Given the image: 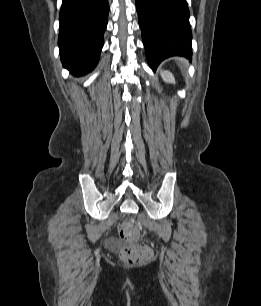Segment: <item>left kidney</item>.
Listing matches in <instances>:
<instances>
[{
  "label": "left kidney",
  "mask_w": 261,
  "mask_h": 306,
  "mask_svg": "<svg viewBox=\"0 0 261 306\" xmlns=\"http://www.w3.org/2000/svg\"><path fill=\"white\" fill-rule=\"evenodd\" d=\"M161 77L166 83H175V78L169 71H161Z\"/></svg>",
  "instance_id": "left-kidney-1"
}]
</instances>
